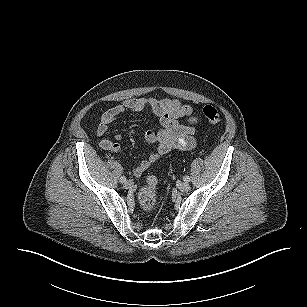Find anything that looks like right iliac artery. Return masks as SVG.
Instances as JSON below:
<instances>
[{
	"instance_id": "right-iliac-artery-1",
	"label": "right iliac artery",
	"mask_w": 307,
	"mask_h": 307,
	"mask_svg": "<svg viewBox=\"0 0 307 307\" xmlns=\"http://www.w3.org/2000/svg\"><path fill=\"white\" fill-rule=\"evenodd\" d=\"M120 182H121V183H125V182H126V177L122 176V177L120 178Z\"/></svg>"
}]
</instances>
